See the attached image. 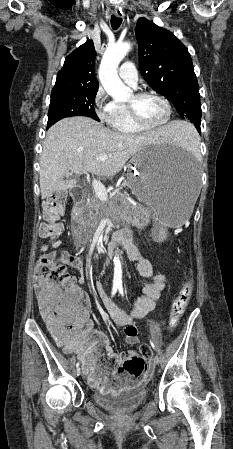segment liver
Instances as JSON below:
<instances>
[{
    "mask_svg": "<svg viewBox=\"0 0 233 449\" xmlns=\"http://www.w3.org/2000/svg\"><path fill=\"white\" fill-rule=\"evenodd\" d=\"M180 134V122L131 135L112 131L89 117L62 119L48 130L43 142L39 172L42 199L76 185V179L64 180L69 171L109 178L120 172L140 147L173 142ZM103 154L109 158L95 160Z\"/></svg>",
    "mask_w": 233,
    "mask_h": 449,
    "instance_id": "liver-1",
    "label": "liver"
}]
</instances>
